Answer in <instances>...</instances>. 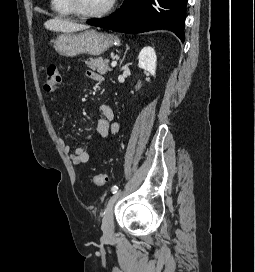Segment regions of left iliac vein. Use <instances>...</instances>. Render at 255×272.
Here are the masks:
<instances>
[{
    "instance_id": "1",
    "label": "left iliac vein",
    "mask_w": 255,
    "mask_h": 272,
    "mask_svg": "<svg viewBox=\"0 0 255 272\" xmlns=\"http://www.w3.org/2000/svg\"><path fill=\"white\" fill-rule=\"evenodd\" d=\"M118 198L119 193H115L108 202L106 213L102 220V231L105 237H111L114 233L113 207Z\"/></svg>"
}]
</instances>
